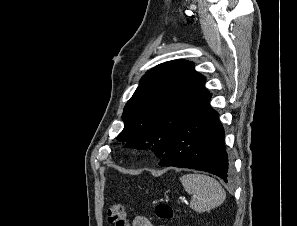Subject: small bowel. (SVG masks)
Returning a JSON list of instances; mask_svg holds the SVG:
<instances>
[{
	"mask_svg": "<svg viewBox=\"0 0 297 226\" xmlns=\"http://www.w3.org/2000/svg\"><path fill=\"white\" fill-rule=\"evenodd\" d=\"M133 226H153L149 219L143 216H137L133 220ZM164 226V225H160Z\"/></svg>",
	"mask_w": 297,
	"mask_h": 226,
	"instance_id": "1",
	"label": "small bowel"
}]
</instances>
